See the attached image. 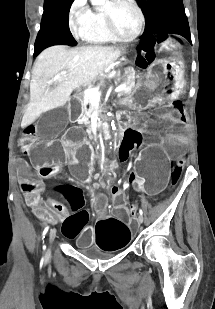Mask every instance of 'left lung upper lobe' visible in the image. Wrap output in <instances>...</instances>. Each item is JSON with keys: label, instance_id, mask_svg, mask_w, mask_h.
<instances>
[{"label": "left lung upper lobe", "instance_id": "5c2ea615", "mask_svg": "<svg viewBox=\"0 0 215 309\" xmlns=\"http://www.w3.org/2000/svg\"><path fill=\"white\" fill-rule=\"evenodd\" d=\"M146 19L141 38L160 33L179 34L191 43L182 0H137Z\"/></svg>", "mask_w": 215, "mask_h": 309}]
</instances>
